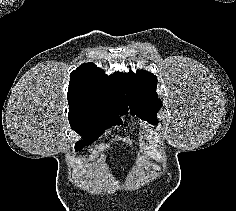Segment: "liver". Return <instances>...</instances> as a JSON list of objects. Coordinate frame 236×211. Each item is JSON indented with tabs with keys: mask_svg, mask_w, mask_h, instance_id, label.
<instances>
[{
	"mask_svg": "<svg viewBox=\"0 0 236 211\" xmlns=\"http://www.w3.org/2000/svg\"><path fill=\"white\" fill-rule=\"evenodd\" d=\"M89 173L92 174V171L90 170Z\"/></svg>",
	"mask_w": 236,
	"mask_h": 211,
	"instance_id": "1",
	"label": "liver"
}]
</instances>
